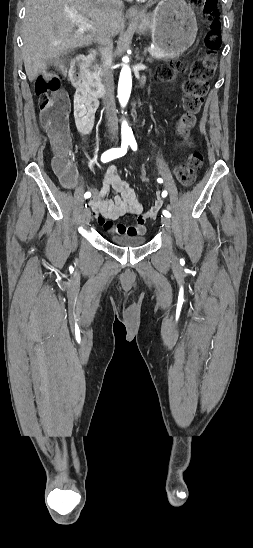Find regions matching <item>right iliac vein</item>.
<instances>
[{"label":"right iliac vein","instance_id":"right-iliac-vein-1","mask_svg":"<svg viewBox=\"0 0 253 548\" xmlns=\"http://www.w3.org/2000/svg\"><path fill=\"white\" fill-rule=\"evenodd\" d=\"M83 220L85 224H88L91 220V212L89 209H85L83 213Z\"/></svg>","mask_w":253,"mask_h":548}]
</instances>
